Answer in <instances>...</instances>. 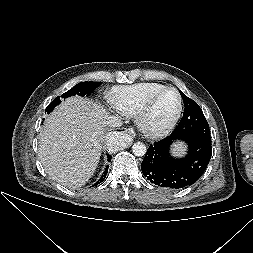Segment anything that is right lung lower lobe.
<instances>
[{
  "instance_id": "98d812e1",
  "label": "right lung lower lobe",
  "mask_w": 253,
  "mask_h": 253,
  "mask_svg": "<svg viewBox=\"0 0 253 253\" xmlns=\"http://www.w3.org/2000/svg\"><path fill=\"white\" fill-rule=\"evenodd\" d=\"M110 160H111V156L108 155V161H110ZM107 171H108V166H106L104 173L102 174L100 179L93 186H96V185L100 184L105 179Z\"/></svg>"
}]
</instances>
